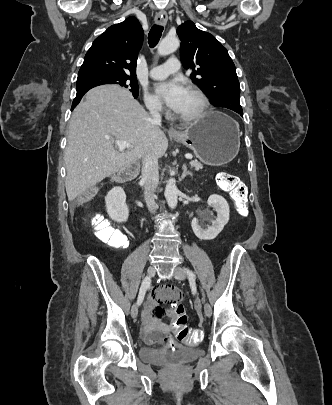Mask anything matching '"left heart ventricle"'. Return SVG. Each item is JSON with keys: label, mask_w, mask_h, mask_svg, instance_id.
<instances>
[{"label": "left heart ventricle", "mask_w": 332, "mask_h": 405, "mask_svg": "<svg viewBox=\"0 0 332 405\" xmlns=\"http://www.w3.org/2000/svg\"><path fill=\"white\" fill-rule=\"evenodd\" d=\"M199 106V99L193 93L186 90L183 100L175 112L180 116H190L198 110Z\"/></svg>", "instance_id": "b2bd125f"}]
</instances>
